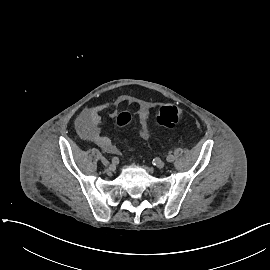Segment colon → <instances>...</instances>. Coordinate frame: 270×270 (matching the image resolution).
<instances>
[{"mask_svg": "<svg viewBox=\"0 0 270 270\" xmlns=\"http://www.w3.org/2000/svg\"><path fill=\"white\" fill-rule=\"evenodd\" d=\"M157 123L164 128H174L183 122V113L175 105H166L159 109L156 115ZM131 121V114L127 111L119 113L115 120L118 129H123Z\"/></svg>", "mask_w": 270, "mask_h": 270, "instance_id": "5ec220e1", "label": "colon"}]
</instances>
